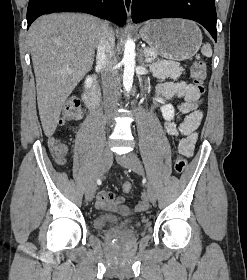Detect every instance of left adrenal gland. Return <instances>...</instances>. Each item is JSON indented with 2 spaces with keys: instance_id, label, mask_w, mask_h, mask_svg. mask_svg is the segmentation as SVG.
I'll use <instances>...</instances> for the list:
<instances>
[{
  "instance_id": "left-adrenal-gland-1",
  "label": "left adrenal gland",
  "mask_w": 247,
  "mask_h": 280,
  "mask_svg": "<svg viewBox=\"0 0 247 280\" xmlns=\"http://www.w3.org/2000/svg\"><path fill=\"white\" fill-rule=\"evenodd\" d=\"M139 63L142 65V66H146L143 62V52H141L140 56H139Z\"/></svg>"
}]
</instances>
